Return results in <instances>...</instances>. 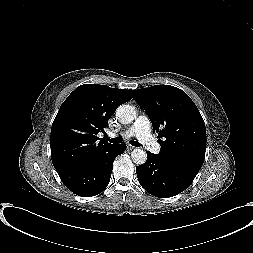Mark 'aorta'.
<instances>
[{
    "instance_id": "1",
    "label": "aorta",
    "mask_w": 253,
    "mask_h": 253,
    "mask_svg": "<svg viewBox=\"0 0 253 253\" xmlns=\"http://www.w3.org/2000/svg\"><path fill=\"white\" fill-rule=\"evenodd\" d=\"M116 116L121 123L129 124L136 118V111L133 106L123 104L117 108ZM131 158L135 164L141 165L146 162L147 154L143 149H134L131 152Z\"/></svg>"
}]
</instances>
